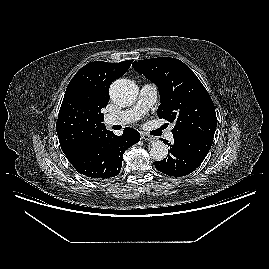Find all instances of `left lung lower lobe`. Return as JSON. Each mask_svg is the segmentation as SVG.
I'll list each match as a JSON object with an SVG mask.
<instances>
[{"mask_svg": "<svg viewBox=\"0 0 269 269\" xmlns=\"http://www.w3.org/2000/svg\"><path fill=\"white\" fill-rule=\"evenodd\" d=\"M173 138L170 143L163 140L171 149L164 160L155 162V167L166 175L176 177L193 172L203 162L213 143L209 137Z\"/></svg>", "mask_w": 269, "mask_h": 269, "instance_id": "1", "label": "left lung lower lobe"}]
</instances>
